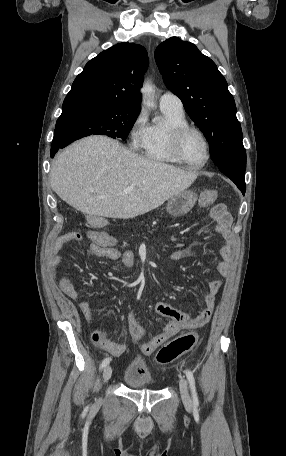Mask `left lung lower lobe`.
Here are the masks:
<instances>
[{"instance_id": "left-lung-lower-lobe-1", "label": "left lung lower lobe", "mask_w": 286, "mask_h": 456, "mask_svg": "<svg viewBox=\"0 0 286 456\" xmlns=\"http://www.w3.org/2000/svg\"><path fill=\"white\" fill-rule=\"evenodd\" d=\"M245 169L246 167L240 165H224L220 166L219 170L229 177L241 190L243 195L245 194L246 185H245Z\"/></svg>"}]
</instances>
